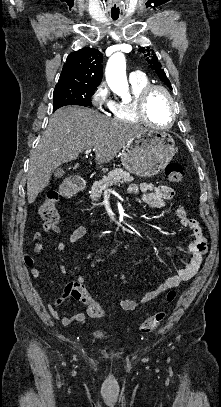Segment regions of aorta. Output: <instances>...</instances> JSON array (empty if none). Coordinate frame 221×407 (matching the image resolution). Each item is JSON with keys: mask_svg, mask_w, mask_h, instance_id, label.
<instances>
[{"mask_svg": "<svg viewBox=\"0 0 221 407\" xmlns=\"http://www.w3.org/2000/svg\"><path fill=\"white\" fill-rule=\"evenodd\" d=\"M106 81L110 89L121 98H129V86L126 77V60L122 53L112 55L105 70Z\"/></svg>", "mask_w": 221, "mask_h": 407, "instance_id": "obj_1", "label": "aorta"}]
</instances>
